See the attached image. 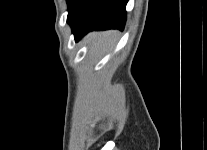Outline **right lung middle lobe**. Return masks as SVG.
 <instances>
[{"instance_id":"obj_1","label":"right lung middle lobe","mask_w":207,"mask_h":150,"mask_svg":"<svg viewBox=\"0 0 207 150\" xmlns=\"http://www.w3.org/2000/svg\"><path fill=\"white\" fill-rule=\"evenodd\" d=\"M74 2V0H67L68 7Z\"/></svg>"}]
</instances>
